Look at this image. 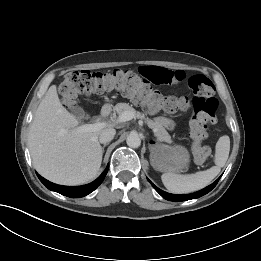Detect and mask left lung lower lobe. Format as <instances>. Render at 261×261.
Returning a JSON list of instances; mask_svg holds the SVG:
<instances>
[{
    "mask_svg": "<svg viewBox=\"0 0 261 261\" xmlns=\"http://www.w3.org/2000/svg\"><path fill=\"white\" fill-rule=\"evenodd\" d=\"M219 179L220 178H218L214 183H212L211 185H209L208 187L204 188L201 191H198V192L192 193V194H186V195H174V194L164 192L161 189H159L158 187H156L150 180H149V182L163 198L170 200V201H186V200H190V199L199 198V197L207 194L216 186Z\"/></svg>",
    "mask_w": 261,
    "mask_h": 261,
    "instance_id": "1",
    "label": "left lung lower lobe"
}]
</instances>
